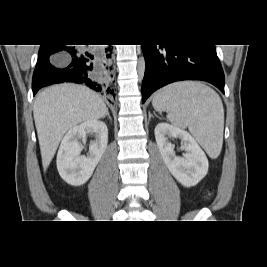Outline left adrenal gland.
I'll return each instance as SVG.
<instances>
[{
    "instance_id": "1",
    "label": "left adrenal gland",
    "mask_w": 267,
    "mask_h": 267,
    "mask_svg": "<svg viewBox=\"0 0 267 267\" xmlns=\"http://www.w3.org/2000/svg\"><path fill=\"white\" fill-rule=\"evenodd\" d=\"M151 117H153V115L151 113H149V120L151 119Z\"/></svg>"
}]
</instances>
